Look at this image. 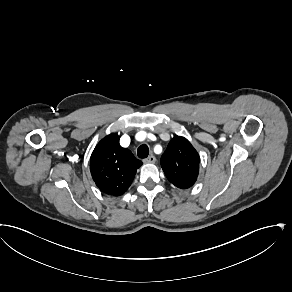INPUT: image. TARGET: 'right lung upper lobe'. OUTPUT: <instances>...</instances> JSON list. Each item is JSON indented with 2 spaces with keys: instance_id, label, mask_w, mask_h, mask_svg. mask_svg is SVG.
I'll list each match as a JSON object with an SVG mask.
<instances>
[{
  "instance_id": "right-lung-upper-lobe-1",
  "label": "right lung upper lobe",
  "mask_w": 292,
  "mask_h": 292,
  "mask_svg": "<svg viewBox=\"0 0 292 292\" xmlns=\"http://www.w3.org/2000/svg\"><path fill=\"white\" fill-rule=\"evenodd\" d=\"M141 165L130 150L120 146L119 136L115 133L97 144L90 159L95 184L102 192L113 196L127 191Z\"/></svg>"
}]
</instances>
